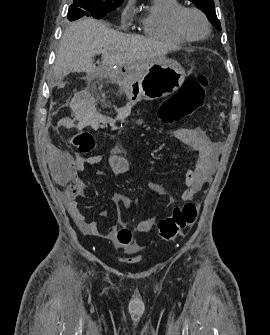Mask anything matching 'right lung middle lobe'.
Instances as JSON below:
<instances>
[{"instance_id": "right-lung-middle-lobe-1", "label": "right lung middle lobe", "mask_w": 270, "mask_h": 335, "mask_svg": "<svg viewBox=\"0 0 270 335\" xmlns=\"http://www.w3.org/2000/svg\"><path fill=\"white\" fill-rule=\"evenodd\" d=\"M120 5L121 3L105 0H73L67 18L69 21L77 20L83 16L101 19Z\"/></svg>"}]
</instances>
